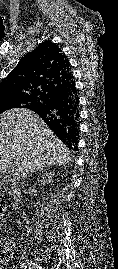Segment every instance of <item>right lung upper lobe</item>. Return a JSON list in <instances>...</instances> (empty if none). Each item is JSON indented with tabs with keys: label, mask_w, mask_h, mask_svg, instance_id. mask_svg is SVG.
Here are the masks:
<instances>
[{
	"label": "right lung upper lobe",
	"mask_w": 118,
	"mask_h": 269,
	"mask_svg": "<svg viewBox=\"0 0 118 269\" xmlns=\"http://www.w3.org/2000/svg\"><path fill=\"white\" fill-rule=\"evenodd\" d=\"M74 83L69 60L57 44L45 41L22 57L17 66L0 83V100L32 98L36 109L58 92ZM40 117L51 127L44 115Z\"/></svg>",
	"instance_id": "right-lung-upper-lobe-1"
}]
</instances>
